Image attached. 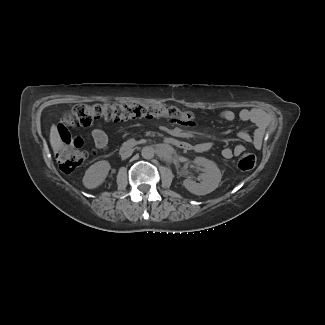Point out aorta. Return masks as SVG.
<instances>
[{
  "label": "aorta",
  "mask_w": 325,
  "mask_h": 325,
  "mask_svg": "<svg viewBox=\"0 0 325 325\" xmlns=\"http://www.w3.org/2000/svg\"><path fill=\"white\" fill-rule=\"evenodd\" d=\"M141 155L145 159H152L155 155V149L151 146H145L141 150Z\"/></svg>",
  "instance_id": "aorta-1"
}]
</instances>
